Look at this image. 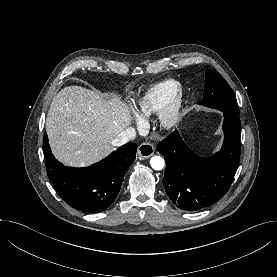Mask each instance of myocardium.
Returning a JSON list of instances; mask_svg holds the SVG:
<instances>
[{
  "instance_id": "f54148a6",
  "label": "myocardium",
  "mask_w": 277,
  "mask_h": 277,
  "mask_svg": "<svg viewBox=\"0 0 277 277\" xmlns=\"http://www.w3.org/2000/svg\"><path fill=\"white\" fill-rule=\"evenodd\" d=\"M183 101V88L176 85L158 110V121L163 128L171 129L178 125L182 116Z\"/></svg>"
}]
</instances>
